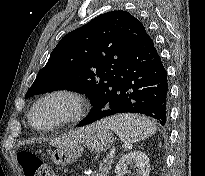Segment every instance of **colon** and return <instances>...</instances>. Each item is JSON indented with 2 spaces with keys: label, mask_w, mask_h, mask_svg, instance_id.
Returning a JSON list of instances; mask_svg holds the SVG:
<instances>
[{
  "label": "colon",
  "mask_w": 205,
  "mask_h": 176,
  "mask_svg": "<svg viewBox=\"0 0 205 176\" xmlns=\"http://www.w3.org/2000/svg\"><path fill=\"white\" fill-rule=\"evenodd\" d=\"M17 162L23 176H51V170L35 153L29 150H20L17 153Z\"/></svg>",
  "instance_id": "1"
}]
</instances>
